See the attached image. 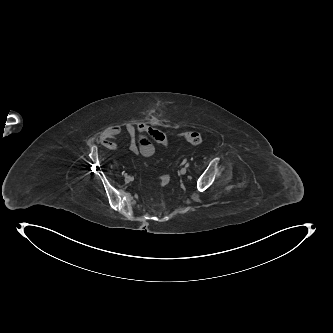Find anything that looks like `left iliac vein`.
<instances>
[{
  "label": "left iliac vein",
  "instance_id": "1",
  "mask_svg": "<svg viewBox=\"0 0 333 333\" xmlns=\"http://www.w3.org/2000/svg\"><path fill=\"white\" fill-rule=\"evenodd\" d=\"M187 169L184 167L179 171L180 175H184L186 173Z\"/></svg>",
  "mask_w": 333,
  "mask_h": 333
}]
</instances>
